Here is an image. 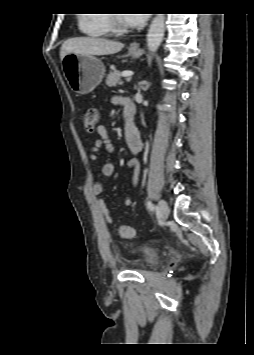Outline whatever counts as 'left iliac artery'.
I'll use <instances>...</instances> for the list:
<instances>
[{"label":"left iliac artery","instance_id":"obj_1","mask_svg":"<svg viewBox=\"0 0 254 355\" xmlns=\"http://www.w3.org/2000/svg\"><path fill=\"white\" fill-rule=\"evenodd\" d=\"M147 205H148L149 210L153 211V204L150 201L147 203Z\"/></svg>","mask_w":254,"mask_h":355}]
</instances>
